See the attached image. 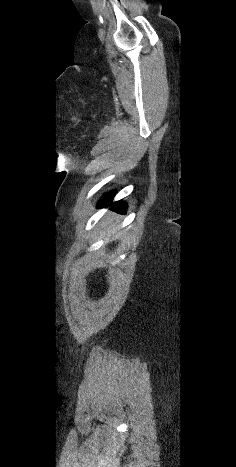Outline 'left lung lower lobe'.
<instances>
[{
	"instance_id": "left-lung-lower-lobe-1",
	"label": "left lung lower lobe",
	"mask_w": 236,
	"mask_h": 467,
	"mask_svg": "<svg viewBox=\"0 0 236 467\" xmlns=\"http://www.w3.org/2000/svg\"><path fill=\"white\" fill-rule=\"evenodd\" d=\"M113 199V194L110 193V194H105L104 195V198L100 201V207L102 206H105L107 204H111V200ZM111 208L117 212H120V213H125L126 211V203L122 202V201H118V202H115V203H112V206Z\"/></svg>"
}]
</instances>
